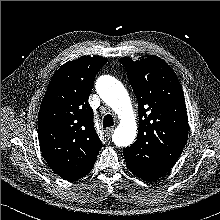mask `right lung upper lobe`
Segmentation results:
<instances>
[{"label": "right lung upper lobe", "mask_w": 220, "mask_h": 220, "mask_svg": "<svg viewBox=\"0 0 220 220\" xmlns=\"http://www.w3.org/2000/svg\"><path fill=\"white\" fill-rule=\"evenodd\" d=\"M106 62L82 56L65 63L53 75L41 102L40 149L50 168L68 181L87 175L102 147L88 98L95 76Z\"/></svg>", "instance_id": "1"}]
</instances>
